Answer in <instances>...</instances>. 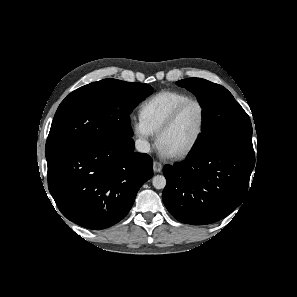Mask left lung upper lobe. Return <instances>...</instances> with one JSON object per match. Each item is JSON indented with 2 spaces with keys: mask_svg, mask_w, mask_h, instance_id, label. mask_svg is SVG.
Wrapping results in <instances>:
<instances>
[{
  "mask_svg": "<svg viewBox=\"0 0 297 297\" xmlns=\"http://www.w3.org/2000/svg\"><path fill=\"white\" fill-rule=\"evenodd\" d=\"M176 84L191 91L203 110L202 134L190 155L212 148L254 154L249 116L226 88L201 78L183 79Z\"/></svg>",
  "mask_w": 297,
  "mask_h": 297,
  "instance_id": "left-lung-upper-lobe-1",
  "label": "left lung upper lobe"
}]
</instances>
